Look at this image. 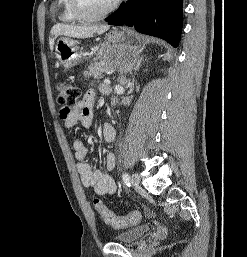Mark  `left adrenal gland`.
<instances>
[{
    "label": "left adrenal gland",
    "instance_id": "left-adrenal-gland-1",
    "mask_svg": "<svg viewBox=\"0 0 247 257\" xmlns=\"http://www.w3.org/2000/svg\"><path fill=\"white\" fill-rule=\"evenodd\" d=\"M141 60L137 63L136 70L139 68Z\"/></svg>",
    "mask_w": 247,
    "mask_h": 257
}]
</instances>
